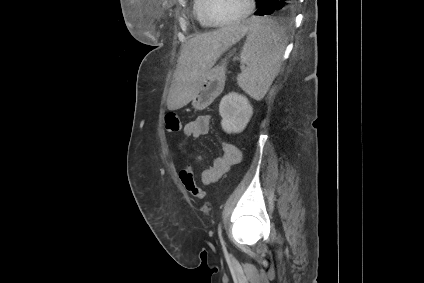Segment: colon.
I'll return each mask as SVG.
<instances>
[{"mask_svg": "<svg viewBox=\"0 0 424 283\" xmlns=\"http://www.w3.org/2000/svg\"><path fill=\"white\" fill-rule=\"evenodd\" d=\"M165 128L169 133L175 134L181 131L182 122L179 116L175 113H167L165 116ZM180 179L186 190L198 199H205L206 192L201 189L194 178V173L189 168H184L180 172Z\"/></svg>", "mask_w": 424, "mask_h": 283, "instance_id": "obj_1", "label": "colon"}]
</instances>
